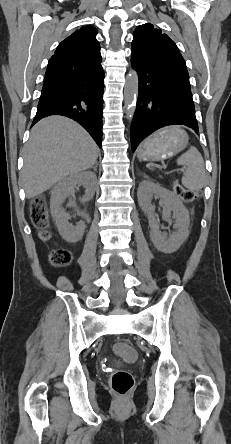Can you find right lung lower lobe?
<instances>
[{"instance_id": "98d812e1", "label": "right lung lower lobe", "mask_w": 231, "mask_h": 444, "mask_svg": "<svg viewBox=\"0 0 231 444\" xmlns=\"http://www.w3.org/2000/svg\"><path fill=\"white\" fill-rule=\"evenodd\" d=\"M104 71L43 84L33 124L49 115H64L80 123L101 147Z\"/></svg>"}]
</instances>
